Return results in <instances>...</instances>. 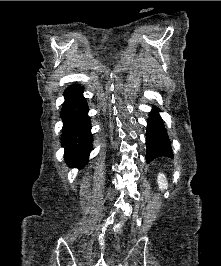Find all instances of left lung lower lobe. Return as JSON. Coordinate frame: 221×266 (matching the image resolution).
<instances>
[{
  "label": "left lung lower lobe",
  "instance_id": "obj_1",
  "mask_svg": "<svg viewBox=\"0 0 221 266\" xmlns=\"http://www.w3.org/2000/svg\"><path fill=\"white\" fill-rule=\"evenodd\" d=\"M147 153L146 162L150 163L157 157H172V149L167 131L159 112L154 108L149 115L146 133Z\"/></svg>",
  "mask_w": 221,
  "mask_h": 266
}]
</instances>
